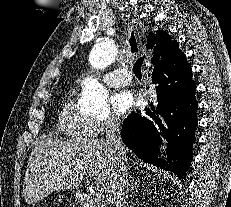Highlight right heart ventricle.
<instances>
[{
    "mask_svg": "<svg viewBox=\"0 0 231 207\" xmlns=\"http://www.w3.org/2000/svg\"><path fill=\"white\" fill-rule=\"evenodd\" d=\"M93 120L79 111L73 96L68 97L58 115L57 130L71 139H85L94 135Z\"/></svg>",
    "mask_w": 231,
    "mask_h": 207,
    "instance_id": "right-heart-ventricle-1",
    "label": "right heart ventricle"
}]
</instances>
